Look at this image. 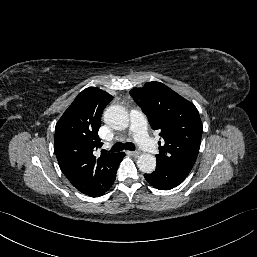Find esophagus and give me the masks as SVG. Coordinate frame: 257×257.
<instances>
[{
    "instance_id": "esophagus-1",
    "label": "esophagus",
    "mask_w": 257,
    "mask_h": 257,
    "mask_svg": "<svg viewBox=\"0 0 257 257\" xmlns=\"http://www.w3.org/2000/svg\"><path fill=\"white\" fill-rule=\"evenodd\" d=\"M130 153H131V155L134 156V157H138V156L141 154L140 151H133V152H130Z\"/></svg>"
}]
</instances>
